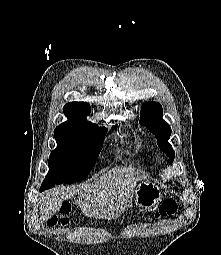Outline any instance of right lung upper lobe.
I'll use <instances>...</instances> for the list:
<instances>
[{"label":"right lung upper lobe","instance_id":"right-lung-upper-lobe-1","mask_svg":"<svg viewBox=\"0 0 221 255\" xmlns=\"http://www.w3.org/2000/svg\"><path fill=\"white\" fill-rule=\"evenodd\" d=\"M68 121L60 124L58 127L74 128L86 131H96L99 128L85 120V117L90 114V105L86 102H71L67 103L63 108Z\"/></svg>","mask_w":221,"mask_h":255}]
</instances>
